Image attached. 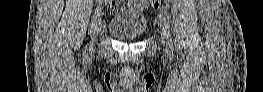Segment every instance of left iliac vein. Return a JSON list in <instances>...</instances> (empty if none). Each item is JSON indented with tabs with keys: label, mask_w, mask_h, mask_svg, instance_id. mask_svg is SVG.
Instances as JSON below:
<instances>
[{
	"label": "left iliac vein",
	"mask_w": 263,
	"mask_h": 92,
	"mask_svg": "<svg viewBox=\"0 0 263 92\" xmlns=\"http://www.w3.org/2000/svg\"><path fill=\"white\" fill-rule=\"evenodd\" d=\"M160 24L163 47L166 52H169L171 49V45L169 43L168 30L166 29L165 21L162 20V17L160 18Z\"/></svg>",
	"instance_id": "1"
}]
</instances>
